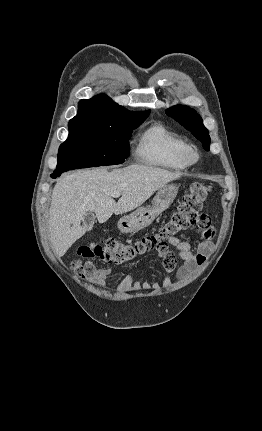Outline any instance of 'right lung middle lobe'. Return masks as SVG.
<instances>
[{"label": "right lung middle lobe", "mask_w": 262, "mask_h": 431, "mask_svg": "<svg viewBox=\"0 0 262 431\" xmlns=\"http://www.w3.org/2000/svg\"><path fill=\"white\" fill-rule=\"evenodd\" d=\"M148 115L69 124V136L58 151L54 172L121 164L129 155V138Z\"/></svg>", "instance_id": "right-lung-middle-lobe-1"}]
</instances>
